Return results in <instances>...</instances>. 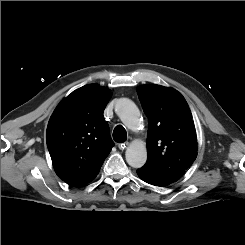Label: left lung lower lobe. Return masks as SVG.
<instances>
[{"label": "left lung lower lobe", "instance_id": "1", "mask_svg": "<svg viewBox=\"0 0 245 245\" xmlns=\"http://www.w3.org/2000/svg\"><path fill=\"white\" fill-rule=\"evenodd\" d=\"M137 174L144 182L159 187L169 186L179 180L178 178L169 177L161 173L153 172L143 167L137 170Z\"/></svg>", "mask_w": 245, "mask_h": 245}]
</instances>
